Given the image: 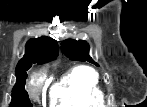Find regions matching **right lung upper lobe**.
Here are the masks:
<instances>
[{
	"instance_id": "obj_1",
	"label": "right lung upper lobe",
	"mask_w": 147,
	"mask_h": 107,
	"mask_svg": "<svg viewBox=\"0 0 147 107\" xmlns=\"http://www.w3.org/2000/svg\"><path fill=\"white\" fill-rule=\"evenodd\" d=\"M58 51V43L50 37L42 36L37 39H30L26 43L24 58L17 64L16 74H19L22 68L33 63L43 64L56 59Z\"/></svg>"
}]
</instances>
